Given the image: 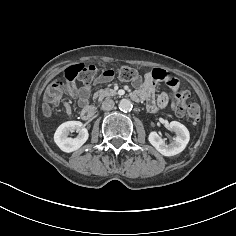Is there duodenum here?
<instances>
[{"label":"duodenum","instance_id":"410a0bca","mask_svg":"<svg viewBox=\"0 0 236 236\" xmlns=\"http://www.w3.org/2000/svg\"><path fill=\"white\" fill-rule=\"evenodd\" d=\"M95 114H96L95 108L90 105L83 107L80 112V116L84 120L92 119L95 116Z\"/></svg>","mask_w":236,"mask_h":236}]
</instances>
